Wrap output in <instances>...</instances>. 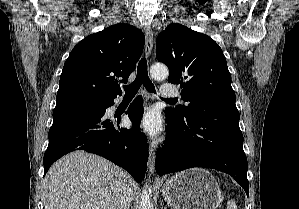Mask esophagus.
<instances>
[{
	"label": "esophagus",
	"mask_w": 299,
	"mask_h": 209,
	"mask_svg": "<svg viewBox=\"0 0 299 209\" xmlns=\"http://www.w3.org/2000/svg\"><path fill=\"white\" fill-rule=\"evenodd\" d=\"M144 33L146 38L145 55L149 58L153 49V31L150 25L144 27ZM148 169L151 174L155 171V149L152 146H149Z\"/></svg>",
	"instance_id": "esophagus-1"
}]
</instances>
